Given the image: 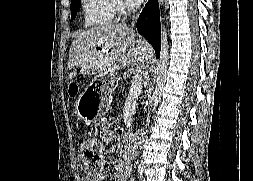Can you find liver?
I'll use <instances>...</instances> for the list:
<instances>
[{"instance_id":"6515ba94","label":"liver","mask_w":253,"mask_h":181,"mask_svg":"<svg viewBox=\"0 0 253 181\" xmlns=\"http://www.w3.org/2000/svg\"><path fill=\"white\" fill-rule=\"evenodd\" d=\"M151 49L147 41L135 38L133 29L122 24L94 26L79 33L69 51L68 68L79 67L82 74L115 73L123 66L145 68Z\"/></svg>"}]
</instances>
